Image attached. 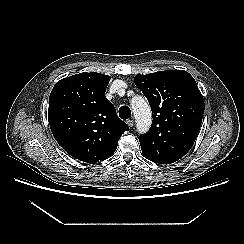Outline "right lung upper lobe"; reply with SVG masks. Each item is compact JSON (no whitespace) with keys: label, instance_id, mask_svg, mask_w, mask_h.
<instances>
[{"label":"right lung upper lobe","instance_id":"1","mask_svg":"<svg viewBox=\"0 0 244 244\" xmlns=\"http://www.w3.org/2000/svg\"><path fill=\"white\" fill-rule=\"evenodd\" d=\"M109 80L96 72L79 73L58 81L49 97L48 120L56 141L83 162L112 156L129 130L105 97Z\"/></svg>","mask_w":244,"mask_h":244}]
</instances>
